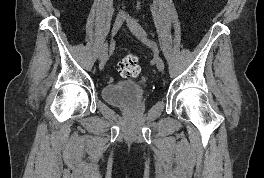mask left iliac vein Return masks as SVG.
Here are the masks:
<instances>
[{"mask_svg":"<svg viewBox=\"0 0 264 178\" xmlns=\"http://www.w3.org/2000/svg\"><path fill=\"white\" fill-rule=\"evenodd\" d=\"M127 25L134 36L142 42L146 41L147 35L143 28L137 23V21L131 17L127 18ZM157 69L162 72L164 70V62L161 57H155Z\"/></svg>","mask_w":264,"mask_h":178,"instance_id":"1","label":"left iliac vein"}]
</instances>
